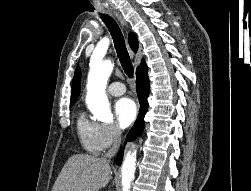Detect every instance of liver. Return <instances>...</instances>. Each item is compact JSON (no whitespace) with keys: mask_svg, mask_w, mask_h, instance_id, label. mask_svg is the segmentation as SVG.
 <instances>
[{"mask_svg":"<svg viewBox=\"0 0 251 191\" xmlns=\"http://www.w3.org/2000/svg\"><path fill=\"white\" fill-rule=\"evenodd\" d=\"M111 167L102 157L76 153L63 165L52 191H98L110 179Z\"/></svg>","mask_w":251,"mask_h":191,"instance_id":"obj_1","label":"liver"}]
</instances>
